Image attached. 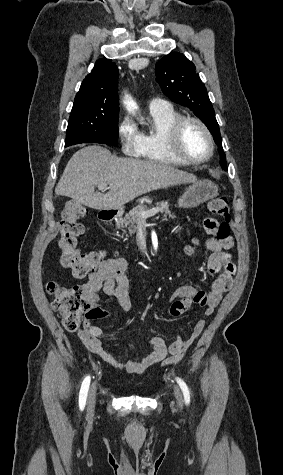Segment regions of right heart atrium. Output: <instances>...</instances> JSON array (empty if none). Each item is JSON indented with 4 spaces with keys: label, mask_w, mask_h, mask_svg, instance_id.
<instances>
[{
    "label": "right heart atrium",
    "mask_w": 283,
    "mask_h": 475,
    "mask_svg": "<svg viewBox=\"0 0 283 475\" xmlns=\"http://www.w3.org/2000/svg\"><path fill=\"white\" fill-rule=\"evenodd\" d=\"M116 132L120 139L123 155L128 159L139 157L142 151V140L132 120L127 116L122 117L117 123Z\"/></svg>",
    "instance_id": "right-heart-atrium-1"
}]
</instances>
